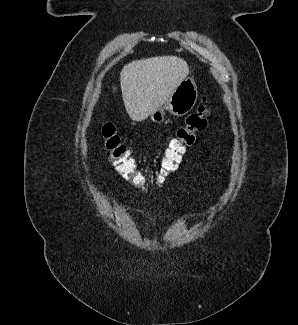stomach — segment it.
I'll return each instance as SVG.
<instances>
[{"label": "stomach", "mask_w": 298, "mask_h": 325, "mask_svg": "<svg viewBox=\"0 0 298 325\" xmlns=\"http://www.w3.org/2000/svg\"><path fill=\"white\" fill-rule=\"evenodd\" d=\"M198 98V86L194 76H186L170 94L167 102L150 114L153 122H163L166 112L174 116H184L194 108Z\"/></svg>", "instance_id": "0dacf381"}]
</instances>
